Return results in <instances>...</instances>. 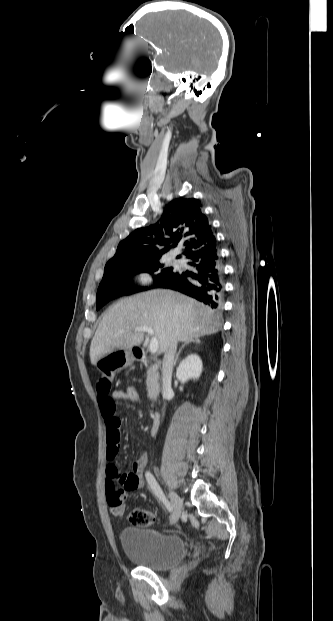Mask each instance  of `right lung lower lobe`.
I'll list each match as a JSON object with an SVG mask.
<instances>
[{
    "label": "right lung lower lobe",
    "mask_w": 333,
    "mask_h": 621,
    "mask_svg": "<svg viewBox=\"0 0 333 621\" xmlns=\"http://www.w3.org/2000/svg\"><path fill=\"white\" fill-rule=\"evenodd\" d=\"M192 270L175 271L159 287L169 288L199 301L213 309H219L224 294L223 266L217 244L203 250L186 254Z\"/></svg>",
    "instance_id": "1"
}]
</instances>
